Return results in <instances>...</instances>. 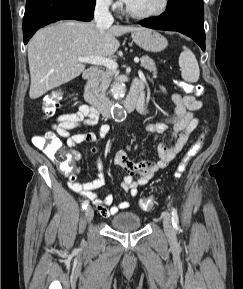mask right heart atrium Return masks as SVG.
<instances>
[{"instance_id":"right-heart-atrium-1","label":"right heart atrium","mask_w":243,"mask_h":289,"mask_svg":"<svg viewBox=\"0 0 243 289\" xmlns=\"http://www.w3.org/2000/svg\"><path fill=\"white\" fill-rule=\"evenodd\" d=\"M97 4L103 8L117 10L120 7L118 0H96Z\"/></svg>"}]
</instances>
